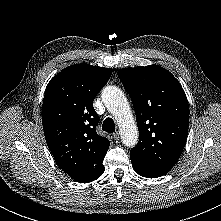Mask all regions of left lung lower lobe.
Returning a JSON list of instances; mask_svg holds the SVG:
<instances>
[{
    "label": "left lung lower lobe",
    "mask_w": 221,
    "mask_h": 221,
    "mask_svg": "<svg viewBox=\"0 0 221 221\" xmlns=\"http://www.w3.org/2000/svg\"><path fill=\"white\" fill-rule=\"evenodd\" d=\"M135 172L146 178H156L168 173L173 167L168 165H157L144 162L136 157L130 156Z\"/></svg>",
    "instance_id": "obj_1"
}]
</instances>
